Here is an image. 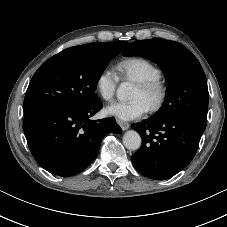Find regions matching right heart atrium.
<instances>
[{"label":"right heart atrium","instance_id":"obj_1","mask_svg":"<svg viewBox=\"0 0 227 227\" xmlns=\"http://www.w3.org/2000/svg\"><path fill=\"white\" fill-rule=\"evenodd\" d=\"M118 80V76L113 70L109 68L103 69L95 81V88L98 95L103 100H111L116 93Z\"/></svg>","mask_w":227,"mask_h":227}]
</instances>
